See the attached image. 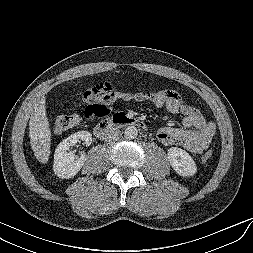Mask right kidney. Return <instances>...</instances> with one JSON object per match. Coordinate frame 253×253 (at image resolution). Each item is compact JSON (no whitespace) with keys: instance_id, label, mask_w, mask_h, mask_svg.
<instances>
[{"instance_id":"ca27d5eb","label":"right kidney","mask_w":253,"mask_h":253,"mask_svg":"<svg viewBox=\"0 0 253 253\" xmlns=\"http://www.w3.org/2000/svg\"><path fill=\"white\" fill-rule=\"evenodd\" d=\"M79 140L85 141L86 145L89 146L92 142V135L88 131H79L58 144L54 154L53 170L59 178L74 177L84 165L85 153H81V156L77 157L73 152H69L70 147Z\"/></svg>"}]
</instances>
